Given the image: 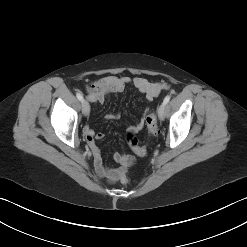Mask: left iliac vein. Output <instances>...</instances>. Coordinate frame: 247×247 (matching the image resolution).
Here are the masks:
<instances>
[{
	"instance_id": "4c4485c4",
	"label": "left iliac vein",
	"mask_w": 247,
	"mask_h": 247,
	"mask_svg": "<svg viewBox=\"0 0 247 247\" xmlns=\"http://www.w3.org/2000/svg\"><path fill=\"white\" fill-rule=\"evenodd\" d=\"M165 111H166V106H165L164 103H162L158 108V117H159L160 120H164Z\"/></svg>"
}]
</instances>
